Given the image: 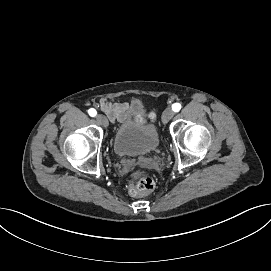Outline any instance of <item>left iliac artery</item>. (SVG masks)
<instances>
[{"instance_id":"obj_1","label":"left iliac artery","mask_w":271,"mask_h":271,"mask_svg":"<svg viewBox=\"0 0 271 271\" xmlns=\"http://www.w3.org/2000/svg\"><path fill=\"white\" fill-rule=\"evenodd\" d=\"M172 109H173L174 112H178V111L181 109V104H179V103H174V104L172 105Z\"/></svg>"}]
</instances>
